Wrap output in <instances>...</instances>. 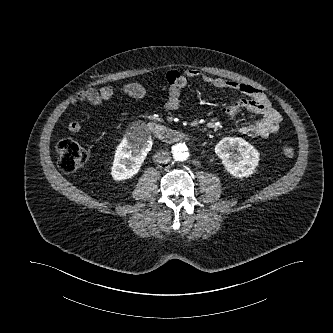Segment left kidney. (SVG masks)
<instances>
[{"mask_svg": "<svg viewBox=\"0 0 333 333\" xmlns=\"http://www.w3.org/2000/svg\"><path fill=\"white\" fill-rule=\"evenodd\" d=\"M238 149L239 155L231 150ZM216 155L232 176L244 178L250 176L259 162V152L247 141L239 137H225L215 146Z\"/></svg>", "mask_w": 333, "mask_h": 333, "instance_id": "1", "label": "left kidney"}]
</instances>
